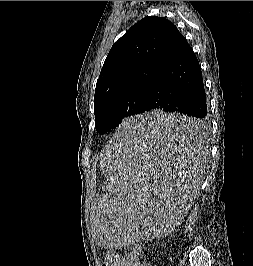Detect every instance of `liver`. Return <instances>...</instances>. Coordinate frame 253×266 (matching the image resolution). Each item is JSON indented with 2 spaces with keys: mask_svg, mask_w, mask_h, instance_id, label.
<instances>
[{
  "mask_svg": "<svg viewBox=\"0 0 253 266\" xmlns=\"http://www.w3.org/2000/svg\"><path fill=\"white\" fill-rule=\"evenodd\" d=\"M119 146V144H116V147H118Z\"/></svg>",
  "mask_w": 253,
  "mask_h": 266,
  "instance_id": "1",
  "label": "liver"
}]
</instances>
